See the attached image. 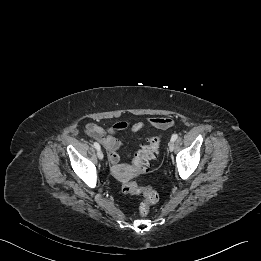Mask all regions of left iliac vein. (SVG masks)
I'll return each mask as SVG.
<instances>
[{"instance_id": "left-iliac-vein-1", "label": "left iliac vein", "mask_w": 261, "mask_h": 261, "mask_svg": "<svg viewBox=\"0 0 261 261\" xmlns=\"http://www.w3.org/2000/svg\"><path fill=\"white\" fill-rule=\"evenodd\" d=\"M168 149H169V151H171V152L174 150V143H173V141L169 142V144H168Z\"/></svg>"}]
</instances>
